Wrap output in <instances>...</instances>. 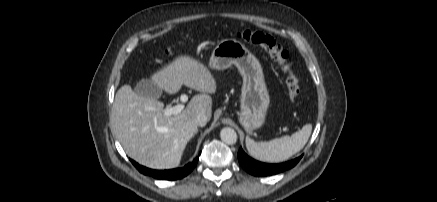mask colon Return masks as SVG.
Returning a JSON list of instances; mask_svg holds the SVG:
<instances>
[{"label": "colon", "mask_w": 437, "mask_h": 202, "mask_svg": "<svg viewBox=\"0 0 437 202\" xmlns=\"http://www.w3.org/2000/svg\"><path fill=\"white\" fill-rule=\"evenodd\" d=\"M237 37L244 42L260 46L280 66L286 74L285 84L288 97L290 100L295 101L300 94V85L299 79L293 70L289 52L278 44L271 35L262 31L244 30L239 32Z\"/></svg>", "instance_id": "colon-1"}]
</instances>
